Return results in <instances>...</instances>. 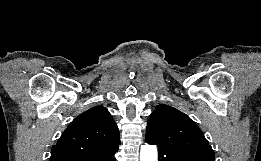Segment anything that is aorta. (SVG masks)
Wrapping results in <instances>:
<instances>
[{
  "instance_id": "762f6f07",
  "label": "aorta",
  "mask_w": 261,
  "mask_h": 161,
  "mask_svg": "<svg viewBox=\"0 0 261 161\" xmlns=\"http://www.w3.org/2000/svg\"><path fill=\"white\" fill-rule=\"evenodd\" d=\"M140 161H158L157 147L155 145H142L140 150Z\"/></svg>"
}]
</instances>
